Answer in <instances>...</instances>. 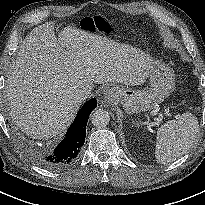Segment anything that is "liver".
Listing matches in <instances>:
<instances>
[{
    "label": "liver",
    "instance_id": "obj_1",
    "mask_svg": "<svg viewBox=\"0 0 205 205\" xmlns=\"http://www.w3.org/2000/svg\"><path fill=\"white\" fill-rule=\"evenodd\" d=\"M152 59L136 49L67 26L55 36L52 22L24 39L6 80L11 123L34 139H49L73 121L81 102L75 91L94 83L139 85Z\"/></svg>",
    "mask_w": 205,
    "mask_h": 205
}]
</instances>
